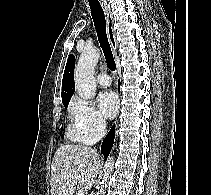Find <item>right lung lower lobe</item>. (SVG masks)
<instances>
[{
  "label": "right lung lower lobe",
  "mask_w": 211,
  "mask_h": 195,
  "mask_svg": "<svg viewBox=\"0 0 211 195\" xmlns=\"http://www.w3.org/2000/svg\"><path fill=\"white\" fill-rule=\"evenodd\" d=\"M114 130H115V126H113L111 128V130L109 131V133L107 134V136L105 137L102 146H101V153H103L105 160L107 159V156L110 153V150L112 148L113 145V140H114Z\"/></svg>",
  "instance_id": "right-lung-lower-lobe-1"
}]
</instances>
